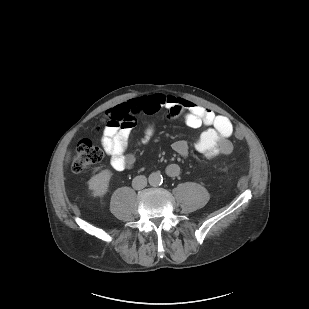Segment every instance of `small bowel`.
I'll use <instances>...</instances> for the list:
<instances>
[{
    "label": "small bowel",
    "instance_id": "1",
    "mask_svg": "<svg viewBox=\"0 0 309 309\" xmlns=\"http://www.w3.org/2000/svg\"><path fill=\"white\" fill-rule=\"evenodd\" d=\"M163 108L168 110L171 118L183 112L186 124L192 128L208 127L195 144L196 150L202 153L205 159H212L219 154L229 155L232 152L233 145L230 137L233 134V126L225 116L216 115L206 107L179 97L154 94L131 99L127 103L113 108L112 120L103 132L102 145L110 157V165L115 171L120 172L131 168L136 163L135 157L126 153L129 135L133 127L120 126L116 121L125 113L132 116L141 113L155 114ZM153 135V126H148L140 143L145 144ZM173 148L183 157L189 153V144L184 139L174 142ZM180 172L181 167L176 163L168 165L166 169V173L170 177H177Z\"/></svg>",
    "mask_w": 309,
    "mask_h": 309
}]
</instances>
